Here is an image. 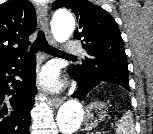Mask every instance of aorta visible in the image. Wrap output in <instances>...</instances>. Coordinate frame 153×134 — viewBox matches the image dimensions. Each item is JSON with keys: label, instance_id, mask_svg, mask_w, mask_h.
Masks as SVG:
<instances>
[{"label": "aorta", "instance_id": "obj_1", "mask_svg": "<svg viewBox=\"0 0 153 134\" xmlns=\"http://www.w3.org/2000/svg\"><path fill=\"white\" fill-rule=\"evenodd\" d=\"M75 29V20L67 11L55 13L52 33L58 42L66 41ZM84 117L82 105L76 99L66 101L57 113V125L62 134H73L81 125Z\"/></svg>", "mask_w": 153, "mask_h": 134}]
</instances>
